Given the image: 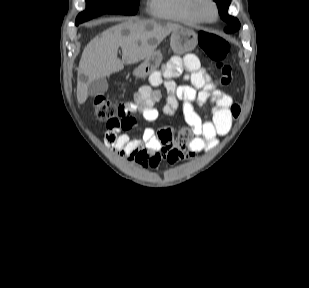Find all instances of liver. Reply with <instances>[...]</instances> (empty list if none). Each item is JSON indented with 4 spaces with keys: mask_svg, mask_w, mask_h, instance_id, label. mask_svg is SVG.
<instances>
[{
    "mask_svg": "<svg viewBox=\"0 0 309 288\" xmlns=\"http://www.w3.org/2000/svg\"><path fill=\"white\" fill-rule=\"evenodd\" d=\"M181 26L155 20L128 19L93 38L85 47L78 68L77 100L85 103L88 85L123 70L124 64H135L152 55L157 45ZM122 49V60L117 56Z\"/></svg>",
    "mask_w": 309,
    "mask_h": 288,
    "instance_id": "6515ba94",
    "label": "liver"
}]
</instances>
